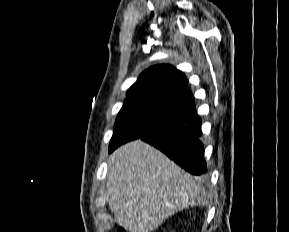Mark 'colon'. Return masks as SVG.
<instances>
[{"label":"colon","mask_w":289,"mask_h":232,"mask_svg":"<svg viewBox=\"0 0 289 232\" xmlns=\"http://www.w3.org/2000/svg\"><path fill=\"white\" fill-rule=\"evenodd\" d=\"M120 232H126V230L124 228H120Z\"/></svg>","instance_id":"1"}]
</instances>
